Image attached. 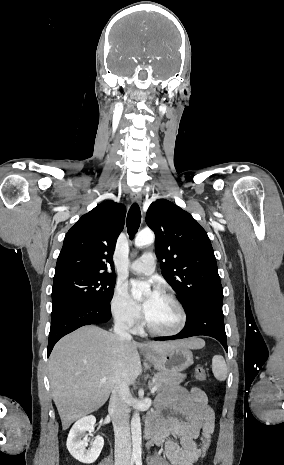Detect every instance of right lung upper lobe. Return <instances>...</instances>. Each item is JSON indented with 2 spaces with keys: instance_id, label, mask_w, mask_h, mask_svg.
Returning a JSON list of instances; mask_svg holds the SVG:
<instances>
[{
  "instance_id": "cb5924a9",
  "label": "right lung upper lobe",
  "mask_w": 284,
  "mask_h": 465,
  "mask_svg": "<svg viewBox=\"0 0 284 465\" xmlns=\"http://www.w3.org/2000/svg\"><path fill=\"white\" fill-rule=\"evenodd\" d=\"M126 208L107 200L84 214L67 232L57 259L54 279L72 274H109L113 253L123 229Z\"/></svg>"
}]
</instances>
